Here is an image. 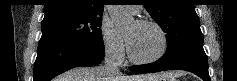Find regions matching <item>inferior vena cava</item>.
Segmentation results:
<instances>
[{"mask_svg": "<svg viewBox=\"0 0 237 81\" xmlns=\"http://www.w3.org/2000/svg\"><path fill=\"white\" fill-rule=\"evenodd\" d=\"M104 72L109 76L120 75L115 51L111 48L106 49L105 52Z\"/></svg>", "mask_w": 237, "mask_h": 81, "instance_id": "inferior-vena-cava-1", "label": "inferior vena cava"}]
</instances>
